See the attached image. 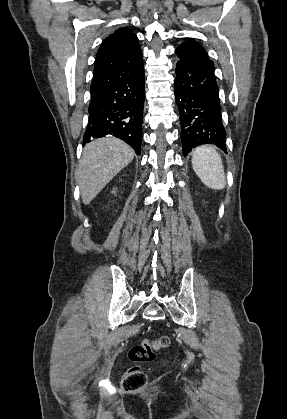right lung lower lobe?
<instances>
[{
	"instance_id": "obj_1",
	"label": "right lung lower lobe",
	"mask_w": 287,
	"mask_h": 419,
	"mask_svg": "<svg viewBox=\"0 0 287 419\" xmlns=\"http://www.w3.org/2000/svg\"><path fill=\"white\" fill-rule=\"evenodd\" d=\"M144 93V66L135 74L92 92L83 144L111 135L128 143L140 155Z\"/></svg>"
}]
</instances>
